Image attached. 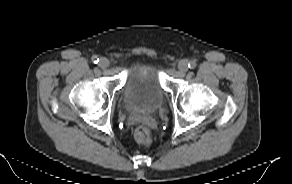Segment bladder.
<instances>
[{"mask_svg":"<svg viewBox=\"0 0 292 184\" xmlns=\"http://www.w3.org/2000/svg\"><path fill=\"white\" fill-rule=\"evenodd\" d=\"M165 90L157 68L138 61L127 71L121 99L128 110L153 111L160 107Z\"/></svg>","mask_w":292,"mask_h":184,"instance_id":"1","label":"bladder"}]
</instances>
